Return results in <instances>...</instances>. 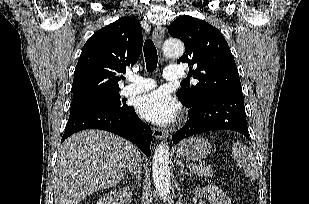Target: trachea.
Listing matches in <instances>:
<instances>
[{"instance_id":"1","label":"trachea","mask_w":309,"mask_h":204,"mask_svg":"<svg viewBox=\"0 0 309 204\" xmlns=\"http://www.w3.org/2000/svg\"><path fill=\"white\" fill-rule=\"evenodd\" d=\"M144 56L146 62V68L149 72H152L156 69L158 63L157 50L152 42L148 39L144 43ZM183 84L189 83L188 81H182Z\"/></svg>"}]
</instances>
